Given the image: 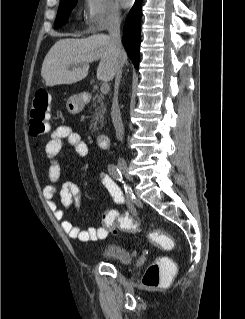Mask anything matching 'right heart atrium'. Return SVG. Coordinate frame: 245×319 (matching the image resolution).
<instances>
[{
	"label": "right heart atrium",
	"instance_id": "1",
	"mask_svg": "<svg viewBox=\"0 0 245 319\" xmlns=\"http://www.w3.org/2000/svg\"><path fill=\"white\" fill-rule=\"evenodd\" d=\"M119 20L120 10L114 0H84L83 23L87 32L114 27Z\"/></svg>",
	"mask_w": 245,
	"mask_h": 319
}]
</instances>
